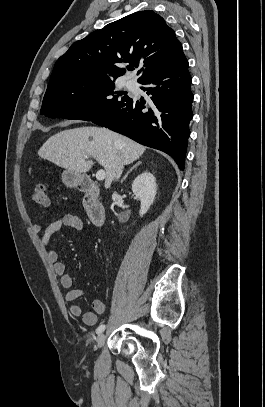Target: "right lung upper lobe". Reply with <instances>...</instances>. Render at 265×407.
<instances>
[{"mask_svg": "<svg viewBox=\"0 0 265 407\" xmlns=\"http://www.w3.org/2000/svg\"><path fill=\"white\" fill-rule=\"evenodd\" d=\"M182 53L174 30L159 14L139 11L73 43L55 63L49 84L116 79L125 73L122 63L142 67L140 82Z\"/></svg>", "mask_w": 265, "mask_h": 407, "instance_id": "right-lung-upper-lobe-1", "label": "right lung upper lobe"}]
</instances>
